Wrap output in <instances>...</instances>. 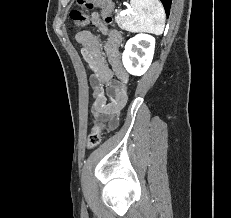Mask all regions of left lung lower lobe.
<instances>
[{
	"label": "left lung lower lobe",
	"instance_id": "1",
	"mask_svg": "<svg viewBox=\"0 0 231 218\" xmlns=\"http://www.w3.org/2000/svg\"><path fill=\"white\" fill-rule=\"evenodd\" d=\"M171 1L172 0H161L163 6L165 8V12H166L167 16L170 13Z\"/></svg>",
	"mask_w": 231,
	"mask_h": 218
}]
</instances>
